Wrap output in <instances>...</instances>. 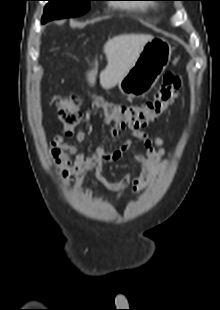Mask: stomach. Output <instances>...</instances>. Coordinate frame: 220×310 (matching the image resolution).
Masks as SVG:
<instances>
[{
    "label": "stomach",
    "mask_w": 220,
    "mask_h": 310,
    "mask_svg": "<svg viewBox=\"0 0 220 310\" xmlns=\"http://www.w3.org/2000/svg\"><path fill=\"white\" fill-rule=\"evenodd\" d=\"M172 55L170 43L164 38L148 41L135 63L118 82L121 93L130 98L145 96L158 82Z\"/></svg>",
    "instance_id": "1"
}]
</instances>
